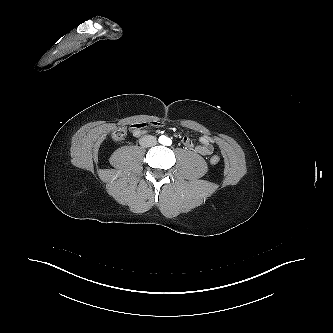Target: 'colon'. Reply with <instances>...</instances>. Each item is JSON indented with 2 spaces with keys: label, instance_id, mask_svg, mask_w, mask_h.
<instances>
[{
  "label": "colon",
  "instance_id": "colon-1",
  "mask_svg": "<svg viewBox=\"0 0 333 333\" xmlns=\"http://www.w3.org/2000/svg\"><path fill=\"white\" fill-rule=\"evenodd\" d=\"M126 135H127V130L124 127H120L113 132L112 137L114 140L120 141L123 140L126 137ZM210 161L212 164H218L220 161V156L214 154L211 156Z\"/></svg>",
  "mask_w": 333,
  "mask_h": 333
}]
</instances>
